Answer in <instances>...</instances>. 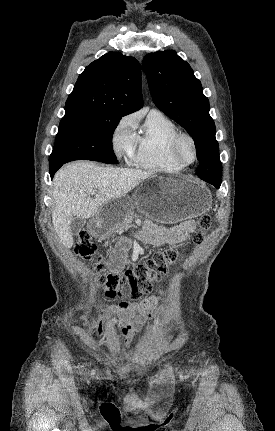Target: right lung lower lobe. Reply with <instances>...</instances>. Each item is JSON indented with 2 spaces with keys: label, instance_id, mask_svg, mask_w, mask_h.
Instances as JSON below:
<instances>
[{
  "label": "right lung lower lobe",
  "instance_id": "1",
  "mask_svg": "<svg viewBox=\"0 0 275 431\" xmlns=\"http://www.w3.org/2000/svg\"><path fill=\"white\" fill-rule=\"evenodd\" d=\"M63 165V163H59V164H54V165H50V176L51 178H53L55 172Z\"/></svg>",
  "mask_w": 275,
  "mask_h": 431
}]
</instances>
